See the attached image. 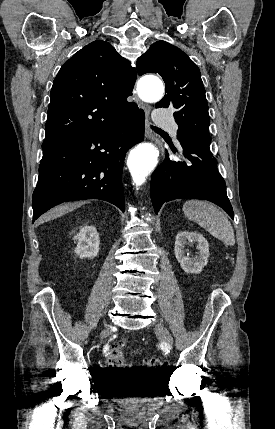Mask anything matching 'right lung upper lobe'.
Segmentation results:
<instances>
[{
  "mask_svg": "<svg viewBox=\"0 0 275 429\" xmlns=\"http://www.w3.org/2000/svg\"><path fill=\"white\" fill-rule=\"evenodd\" d=\"M136 70L106 41L96 40L61 67L51 89L43 150L121 122L137 108L128 102Z\"/></svg>",
  "mask_w": 275,
  "mask_h": 429,
  "instance_id": "cb5924a9",
  "label": "right lung upper lobe"
}]
</instances>
